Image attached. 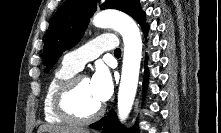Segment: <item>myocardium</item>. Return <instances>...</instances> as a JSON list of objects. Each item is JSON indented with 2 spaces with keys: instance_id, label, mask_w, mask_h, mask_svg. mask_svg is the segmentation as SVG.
Listing matches in <instances>:
<instances>
[{
  "instance_id": "1",
  "label": "myocardium",
  "mask_w": 221,
  "mask_h": 133,
  "mask_svg": "<svg viewBox=\"0 0 221 133\" xmlns=\"http://www.w3.org/2000/svg\"><path fill=\"white\" fill-rule=\"evenodd\" d=\"M86 78L85 75L76 74L64 81L56 90L53 98L55 112L64 120L74 124H88L100 118L104 112L101 104L96 112L89 116H79L73 109L71 101L80 81Z\"/></svg>"
}]
</instances>
